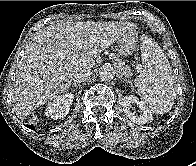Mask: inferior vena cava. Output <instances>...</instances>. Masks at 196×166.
Segmentation results:
<instances>
[{"label": "inferior vena cava", "mask_w": 196, "mask_h": 166, "mask_svg": "<svg viewBox=\"0 0 196 166\" xmlns=\"http://www.w3.org/2000/svg\"><path fill=\"white\" fill-rule=\"evenodd\" d=\"M92 74L90 69H84V70H80L79 72H76L73 76V81L75 83H82L84 81H86L90 75Z\"/></svg>", "instance_id": "obj_1"}]
</instances>
